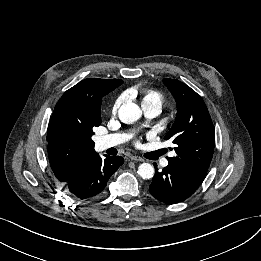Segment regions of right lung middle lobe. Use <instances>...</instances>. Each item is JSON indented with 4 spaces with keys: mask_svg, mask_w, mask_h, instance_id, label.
Segmentation results:
<instances>
[{
    "mask_svg": "<svg viewBox=\"0 0 261 261\" xmlns=\"http://www.w3.org/2000/svg\"><path fill=\"white\" fill-rule=\"evenodd\" d=\"M101 124V118L88 117L78 123H62L54 127L51 134L57 138L70 140L82 138L92 142L93 128Z\"/></svg>",
    "mask_w": 261,
    "mask_h": 261,
    "instance_id": "dd1d6c3e",
    "label": "right lung middle lobe"
}]
</instances>
